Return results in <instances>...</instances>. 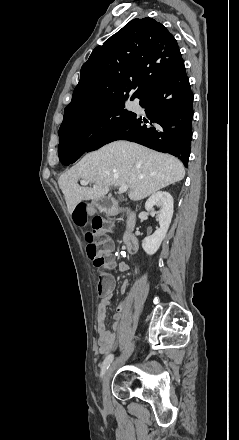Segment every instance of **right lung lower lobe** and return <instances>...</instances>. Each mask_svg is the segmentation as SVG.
<instances>
[{
    "instance_id": "98d812e1",
    "label": "right lung lower lobe",
    "mask_w": 239,
    "mask_h": 440,
    "mask_svg": "<svg viewBox=\"0 0 239 440\" xmlns=\"http://www.w3.org/2000/svg\"><path fill=\"white\" fill-rule=\"evenodd\" d=\"M147 118L133 113L113 129L102 133L87 147H63L58 150L62 164L69 165L85 152L124 139L178 157L188 166L192 140L193 94L183 59L167 75L155 81L140 96Z\"/></svg>"
}]
</instances>
